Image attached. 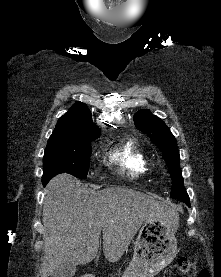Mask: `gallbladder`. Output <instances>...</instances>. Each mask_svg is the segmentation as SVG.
I'll return each mask as SVG.
<instances>
[{
  "instance_id": "1",
  "label": "gallbladder",
  "mask_w": 221,
  "mask_h": 277,
  "mask_svg": "<svg viewBox=\"0 0 221 277\" xmlns=\"http://www.w3.org/2000/svg\"><path fill=\"white\" fill-rule=\"evenodd\" d=\"M75 273H76L75 265H72L69 263H63L54 270L51 277H74Z\"/></svg>"
}]
</instances>
